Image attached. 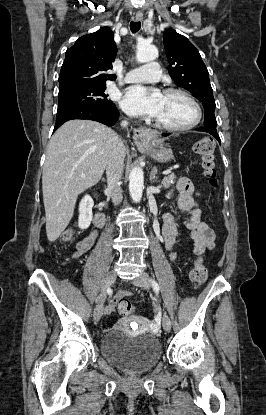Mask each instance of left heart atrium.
Here are the masks:
<instances>
[{
    "mask_svg": "<svg viewBox=\"0 0 266 415\" xmlns=\"http://www.w3.org/2000/svg\"><path fill=\"white\" fill-rule=\"evenodd\" d=\"M162 97L158 90L134 86L125 93L121 106L132 115L156 117L161 108Z\"/></svg>",
    "mask_w": 266,
    "mask_h": 415,
    "instance_id": "left-heart-atrium-1",
    "label": "left heart atrium"
}]
</instances>
